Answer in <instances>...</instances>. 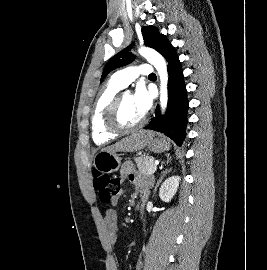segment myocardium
I'll return each instance as SVG.
<instances>
[{"label": "myocardium", "instance_id": "1", "mask_svg": "<svg viewBox=\"0 0 267 270\" xmlns=\"http://www.w3.org/2000/svg\"><path fill=\"white\" fill-rule=\"evenodd\" d=\"M123 96L124 94L117 95L108 106L105 114V126L110 132H113L115 134L131 133L140 129L146 123L145 116H143L138 123L132 126H124L120 122L119 112Z\"/></svg>", "mask_w": 267, "mask_h": 270}]
</instances>
